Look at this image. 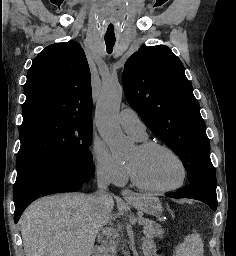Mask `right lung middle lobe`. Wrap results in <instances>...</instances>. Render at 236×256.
<instances>
[{
  "label": "right lung middle lobe",
  "mask_w": 236,
  "mask_h": 256,
  "mask_svg": "<svg viewBox=\"0 0 236 256\" xmlns=\"http://www.w3.org/2000/svg\"><path fill=\"white\" fill-rule=\"evenodd\" d=\"M91 136L92 121L48 115L23 120L17 175L42 163L77 161L92 164L93 158L89 151Z\"/></svg>",
  "instance_id": "obj_1"
}]
</instances>
